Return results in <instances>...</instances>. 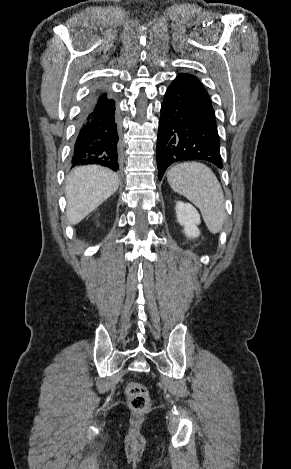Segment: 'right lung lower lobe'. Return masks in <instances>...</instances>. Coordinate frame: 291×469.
<instances>
[{
	"mask_svg": "<svg viewBox=\"0 0 291 469\" xmlns=\"http://www.w3.org/2000/svg\"><path fill=\"white\" fill-rule=\"evenodd\" d=\"M120 125L115 101L94 90L78 118L70 159L72 167L98 164L117 171L120 165Z\"/></svg>",
	"mask_w": 291,
	"mask_h": 469,
	"instance_id": "1",
	"label": "right lung lower lobe"
}]
</instances>
